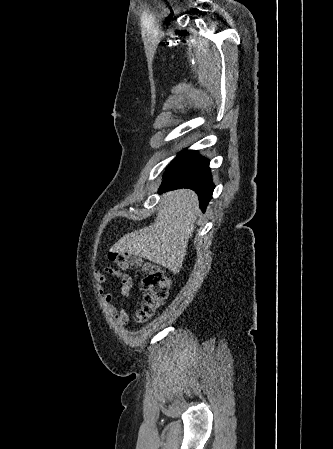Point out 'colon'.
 <instances>
[{"instance_id":"1","label":"colon","mask_w":333,"mask_h":449,"mask_svg":"<svg viewBox=\"0 0 333 449\" xmlns=\"http://www.w3.org/2000/svg\"><path fill=\"white\" fill-rule=\"evenodd\" d=\"M108 258L122 269L140 266L144 271V277L141 282V287L144 291L143 303L136 311L135 317L138 322L148 320L168 296L169 275L158 266L142 264L127 252L114 250L109 252Z\"/></svg>"}]
</instances>
